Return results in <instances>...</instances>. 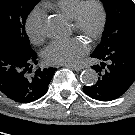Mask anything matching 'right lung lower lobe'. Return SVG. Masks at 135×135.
<instances>
[{
  "mask_svg": "<svg viewBox=\"0 0 135 135\" xmlns=\"http://www.w3.org/2000/svg\"><path fill=\"white\" fill-rule=\"evenodd\" d=\"M37 54L23 49L8 36L0 35V91L19 103H29L47 93L56 68L37 69Z\"/></svg>",
  "mask_w": 135,
  "mask_h": 135,
  "instance_id": "98d812e1",
  "label": "right lung lower lobe"
}]
</instances>
